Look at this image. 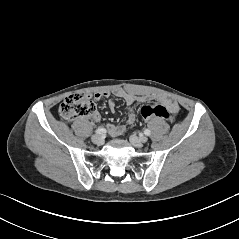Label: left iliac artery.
I'll use <instances>...</instances> for the list:
<instances>
[{
    "mask_svg": "<svg viewBox=\"0 0 239 239\" xmlns=\"http://www.w3.org/2000/svg\"><path fill=\"white\" fill-rule=\"evenodd\" d=\"M150 133H151V132H150L149 129H146V130L144 131V134L147 135V136L150 135Z\"/></svg>",
    "mask_w": 239,
    "mask_h": 239,
    "instance_id": "1",
    "label": "left iliac artery"
}]
</instances>
